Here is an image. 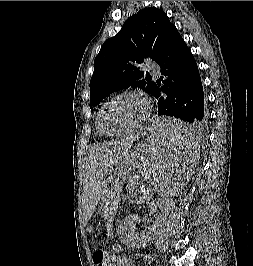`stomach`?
<instances>
[{"instance_id": "0dacf381", "label": "stomach", "mask_w": 253, "mask_h": 266, "mask_svg": "<svg viewBox=\"0 0 253 266\" xmlns=\"http://www.w3.org/2000/svg\"><path fill=\"white\" fill-rule=\"evenodd\" d=\"M163 138L160 132H152L149 137L143 141L140 136L135 137L127 147H125L120 154L113 158L108 170L105 173V185L107 194L114 197V200L106 205V223L104 240L108 242L110 235V229L113 225L114 217L116 215L117 205L116 202L122 190L124 181L127 176H133L135 171V163L137 160H148L144 159V150H150L151 145H156V139ZM106 201H110L105 200ZM106 236V237H105ZM103 240V241H104Z\"/></svg>"}]
</instances>
